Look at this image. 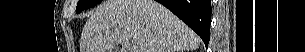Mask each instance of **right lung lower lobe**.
Wrapping results in <instances>:
<instances>
[{"instance_id":"98d812e1","label":"right lung lower lobe","mask_w":305,"mask_h":52,"mask_svg":"<svg viewBox=\"0 0 305 52\" xmlns=\"http://www.w3.org/2000/svg\"><path fill=\"white\" fill-rule=\"evenodd\" d=\"M193 29L206 47L210 40L211 0H156Z\"/></svg>"}]
</instances>
